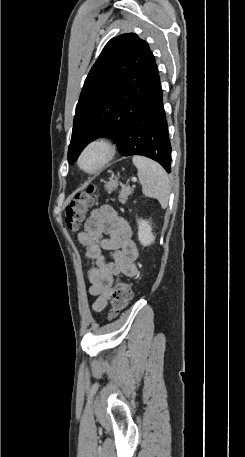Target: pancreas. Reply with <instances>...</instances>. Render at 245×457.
Listing matches in <instances>:
<instances>
[{
  "mask_svg": "<svg viewBox=\"0 0 245 457\" xmlns=\"http://www.w3.org/2000/svg\"><path fill=\"white\" fill-rule=\"evenodd\" d=\"M133 188L131 186H122V190H120L119 200L124 204L126 202V198H128L129 194H132Z\"/></svg>",
  "mask_w": 245,
  "mask_h": 457,
  "instance_id": "obj_1",
  "label": "pancreas"
}]
</instances>
